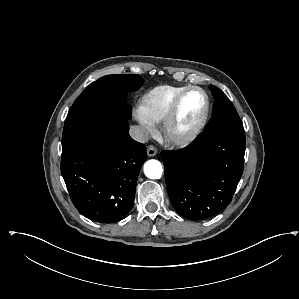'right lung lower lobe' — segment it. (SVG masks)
<instances>
[{"instance_id":"right-lung-lower-lobe-1","label":"right lung lower lobe","mask_w":299,"mask_h":299,"mask_svg":"<svg viewBox=\"0 0 299 299\" xmlns=\"http://www.w3.org/2000/svg\"><path fill=\"white\" fill-rule=\"evenodd\" d=\"M144 144L129 136L128 119L110 118L62 151L61 173L79 212L99 223L120 220L132 208Z\"/></svg>"}]
</instances>
